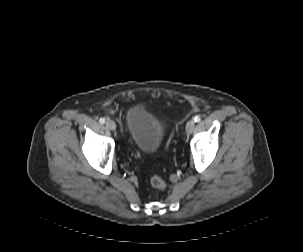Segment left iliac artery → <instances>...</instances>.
Here are the masks:
<instances>
[{
  "instance_id": "obj_1",
  "label": "left iliac artery",
  "mask_w": 303,
  "mask_h": 252,
  "mask_svg": "<svg viewBox=\"0 0 303 252\" xmlns=\"http://www.w3.org/2000/svg\"><path fill=\"white\" fill-rule=\"evenodd\" d=\"M200 120H201L200 116L197 115V116L194 117L195 122H200Z\"/></svg>"
}]
</instances>
